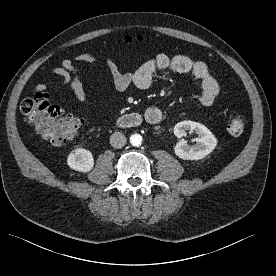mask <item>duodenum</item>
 Wrapping results in <instances>:
<instances>
[{
  "instance_id": "1",
  "label": "duodenum",
  "mask_w": 276,
  "mask_h": 276,
  "mask_svg": "<svg viewBox=\"0 0 276 276\" xmlns=\"http://www.w3.org/2000/svg\"><path fill=\"white\" fill-rule=\"evenodd\" d=\"M143 121H144V118L142 115L138 113H128V114L121 115L118 118L117 123L120 127L131 128V127H137L141 125ZM145 121L149 123V121L146 118H145Z\"/></svg>"
}]
</instances>
